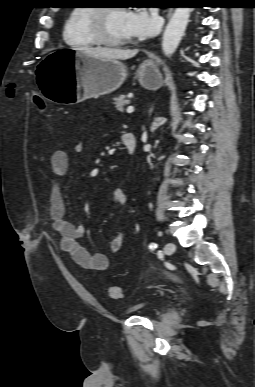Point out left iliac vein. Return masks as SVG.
I'll use <instances>...</instances> for the list:
<instances>
[{
    "label": "left iliac vein",
    "mask_w": 255,
    "mask_h": 387,
    "mask_svg": "<svg viewBox=\"0 0 255 387\" xmlns=\"http://www.w3.org/2000/svg\"><path fill=\"white\" fill-rule=\"evenodd\" d=\"M175 249H176V246L174 243H167L165 246H164V253L166 255H171L175 252Z\"/></svg>",
    "instance_id": "1"
}]
</instances>
